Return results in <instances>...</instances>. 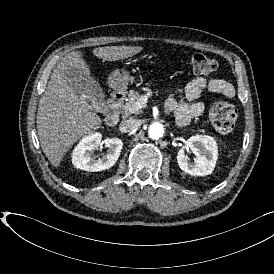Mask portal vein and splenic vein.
I'll list each match as a JSON object with an SVG mask.
<instances>
[{
    "label": "portal vein and splenic vein",
    "instance_id": "obj_1",
    "mask_svg": "<svg viewBox=\"0 0 274 274\" xmlns=\"http://www.w3.org/2000/svg\"><path fill=\"white\" fill-rule=\"evenodd\" d=\"M147 101V98L145 96H141L139 101H136L135 105L131 108L133 111H138L142 107H145V102Z\"/></svg>",
    "mask_w": 274,
    "mask_h": 274
}]
</instances>
